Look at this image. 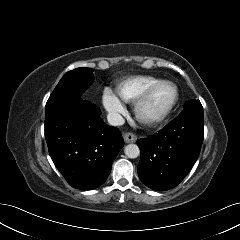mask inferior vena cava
Instances as JSON below:
<instances>
[{
	"instance_id": "1",
	"label": "inferior vena cava",
	"mask_w": 240,
	"mask_h": 240,
	"mask_svg": "<svg viewBox=\"0 0 240 240\" xmlns=\"http://www.w3.org/2000/svg\"><path fill=\"white\" fill-rule=\"evenodd\" d=\"M107 120L110 125L121 126L124 124V118L117 112H110L107 115Z\"/></svg>"
}]
</instances>
